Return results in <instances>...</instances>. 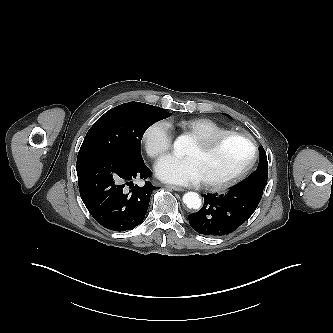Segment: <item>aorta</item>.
I'll return each mask as SVG.
<instances>
[{
    "mask_svg": "<svg viewBox=\"0 0 333 333\" xmlns=\"http://www.w3.org/2000/svg\"><path fill=\"white\" fill-rule=\"evenodd\" d=\"M189 145V139L185 135L177 137L174 142V152L176 156H183ZM184 204L190 209H199L201 206V199L196 192H187L183 196Z\"/></svg>",
    "mask_w": 333,
    "mask_h": 333,
    "instance_id": "1",
    "label": "aorta"
}]
</instances>
